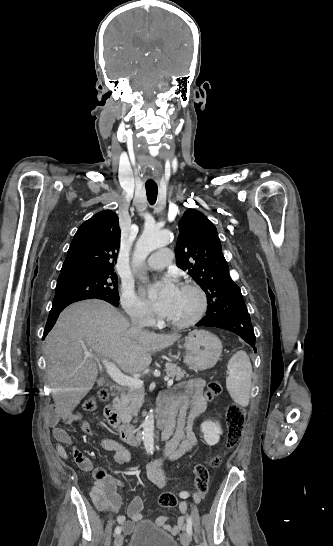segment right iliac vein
<instances>
[{
	"label": "right iliac vein",
	"instance_id": "right-iliac-vein-1",
	"mask_svg": "<svg viewBox=\"0 0 333 546\" xmlns=\"http://www.w3.org/2000/svg\"><path fill=\"white\" fill-rule=\"evenodd\" d=\"M123 540H124L123 535L117 534L114 539V546H122Z\"/></svg>",
	"mask_w": 333,
	"mask_h": 546
}]
</instances>
